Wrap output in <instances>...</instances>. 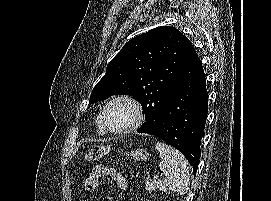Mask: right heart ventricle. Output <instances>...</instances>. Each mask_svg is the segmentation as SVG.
Instances as JSON below:
<instances>
[{"instance_id":"e07e8e85","label":"right heart ventricle","mask_w":271,"mask_h":201,"mask_svg":"<svg viewBox=\"0 0 271 201\" xmlns=\"http://www.w3.org/2000/svg\"><path fill=\"white\" fill-rule=\"evenodd\" d=\"M95 127L98 134L105 135L107 133L100 120V115H98L95 119Z\"/></svg>"}]
</instances>
